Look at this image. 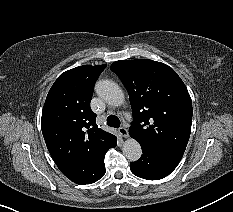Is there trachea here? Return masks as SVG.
<instances>
[{
  "label": "trachea",
  "instance_id": "trachea-1",
  "mask_svg": "<svg viewBox=\"0 0 233 212\" xmlns=\"http://www.w3.org/2000/svg\"><path fill=\"white\" fill-rule=\"evenodd\" d=\"M107 125L114 128L120 127V120L115 115H110L107 117Z\"/></svg>",
  "mask_w": 233,
  "mask_h": 212
}]
</instances>
